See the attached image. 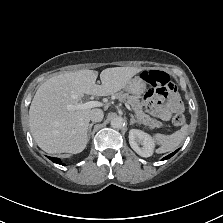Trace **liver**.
<instances>
[{
	"mask_svg": "<svg viewBox=\"0 0 223 223\" xmlns=\"http://www.w3.org/2000/svg\"><path fill=\"white\" fill-rule=\"evenodd\" d=\"M136 67H114L100 74L79 70L51 77L37 90L29 110L31 134L38 146L49 154L82 152L86 144L91 108L74 110L84 94L112 95L126 88L130 79L142 71Z\"/></svg>",
	"mask_w": 223,
	"mask_h": 223,
	"instance_id": "1",
	"label": "liver"
}]
</instances>
